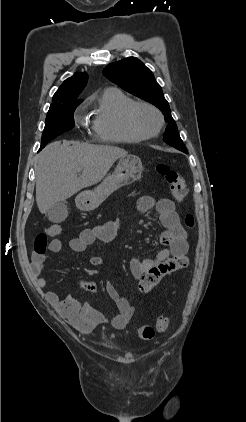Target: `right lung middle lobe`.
I'll use <instances>...</instances> for the list:
<instances>
[{
  "label": "right lung middle lobe",
  "instance_id": "obj_1",
  "mask_svg": "<svg viewBox=\"0 0 246 422\" xmlns=\"http://www.w3.org/2000/svg\"><path fill=\"white\" fill-rule=\"evenodd\" d=\"M80 103L74 102L50 107L42 134L40 150L52 139L74 127L73 114Z\"/></svg>",
  "mask_w": 246,
  "mask_h": 422
}]
</instances>
